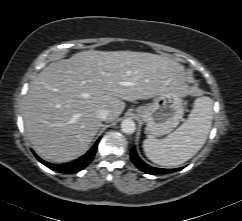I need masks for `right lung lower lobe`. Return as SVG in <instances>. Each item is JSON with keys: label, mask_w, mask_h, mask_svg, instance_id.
I'll return each instance as SVG.
<instances>
[{"label": "right lung lower lobe", "mask_w": 242, "mask_h": 221, "mask_svg": "<svg viewBox=\"0 0 242 221\" xmlns=\"http://www.w3.org/2000/svg\"><path fill=\"white\" fill-rule=\"evenodd\" d=\"M100 139L97 140V142L94 144V146L81 158L70 162V163H65V164H59V165H53L48 162L43 161L41 158H39L37 155V159L43 163L45 166L48 168L56 171V172H61V173H72V172H77L82 169H84L93 159L95 152L97 150V146L99 143Z\"/></svg>", "instance_id": "98d812e1"}]
</instances>
